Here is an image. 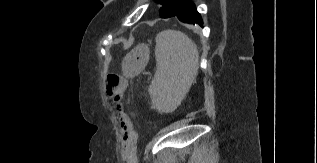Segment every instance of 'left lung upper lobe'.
<instances>
[{
    "label": "left lung upper lobe",
    "mask_w": 317,
    "mask_h": 163,
    "mask_svg": "<svg viewBox=\"0 0 317 163\" xmlns=\"http://www.w3.org/2000/svg\"><path fill=\"white\" fill-rule=\"evenodd\" d=\"M158 3L162 4L160 8V16L162 18H167L175 14L180 6L185 0H156Z\"/></svg>",
    "instance_id": "5c2ea615"
}]
</instances>
